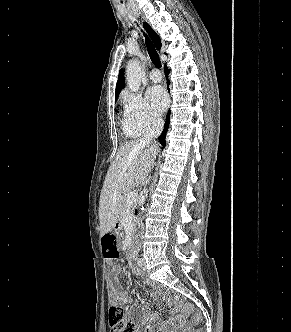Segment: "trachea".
I'll list each match as a JSON object with an SVG mask.
<instances>
[{
  "label": "trachea",
  "mask_w": 291,
  "mask_h": 332,
  "mask_svg": "<svg viewBox=\"0 0 291 332\" xmlns=\"http://www.w3.org/2000/svg\"><path fill=\"white\" fill-rule=\"evenodd\" d=\"M145 41H146V47H147V51H148L151 61L153 62V64L156 67L160 68L161 61H160L159 55H158L153 43L150 41V39L147 36L145 38Z\"/></svg>",
  "instance_id": "trachea-1"
}]
</instances>
